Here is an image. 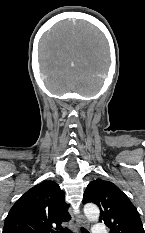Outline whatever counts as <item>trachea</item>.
Instances as JSON below:
<instances>
[{"instance_id":"obj_1","label":"trachea","mask_w":145,"mask_h":233,"mask_svg":"<svg viewBox=\"0 0 145 233\" xmlns=\"http://www.w3.org/2000/svg\"><path fill=\"white\" fill-rule=\"evenodd\" d=\"M81 232L82 233H89L85 228H81ZM58 233H72V231L69 230L68 228H65V229L59 231Z\"/></svg>"}]
</instances>
